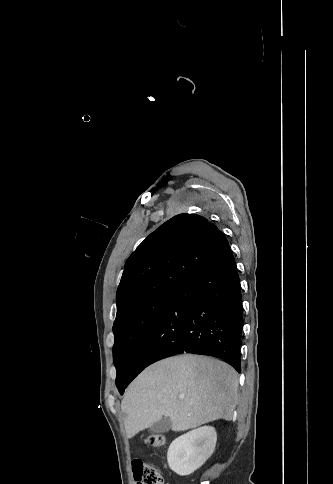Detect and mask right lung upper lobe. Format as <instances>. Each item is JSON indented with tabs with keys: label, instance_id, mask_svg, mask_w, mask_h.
Returning <instances> with one entry per match:
<instances>
[{
	"label": "right lung upper lobe",
	"instance_id": "1",
	"mask_svg": "<svg viewBox=\"0 0 333 484\" xmlns=\"http://www.w3.org/2000/svg\"><path fill=\"white\" fill-rule=\"evenodd\" d=\"M229 250L225 235L206 218L174 216L128 258L116 294V319L164 291L178 290Z\"/></svg>",
	"mask_w": 333,
	"mask_h": 484
}]
</instances>
